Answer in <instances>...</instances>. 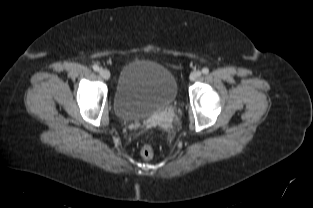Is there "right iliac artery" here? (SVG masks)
Returning a JSON list of instances; mask_svg holds the SVG:
<instances>
[{"mask_svg": "<svg viewBox=\"0 0 313 208\" xmlns=\"http://www.w3.org/2000/svg\"><path fill=\"white\" fill-rule=\"evenodd\" d=\"M93 70L98 72L100 70L99 66L98 65H93Z\"/></svg>", "mask_w": 313, "mask_h": 208, "instance_id": "obj_1", "label": "right iliac artery"}]
</instances>
